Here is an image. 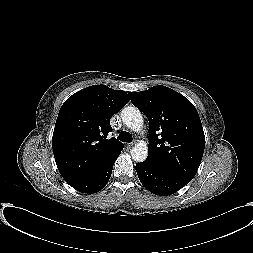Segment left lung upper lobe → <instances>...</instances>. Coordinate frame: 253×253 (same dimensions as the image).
<instances>
[{
    "instance_id": "obj_1",
    "label": "left lung upper lobe",
    "mask_w": 253,
    "mask_h": 253,
    "mask_svg": "<svg viewBox=\"0 0 253 253\" xmlns=\"http://www.w3.org/2000/svg\"><path fill=\"white\" fill-rule=\"evenodd\" d=\"M129 95L133 105L149 120L150 143L146 160L191 181L205 148L201 120L194 105L165 86H154Z\"/></svg>"
}]
</instances>
